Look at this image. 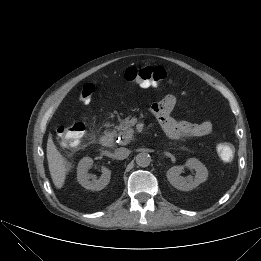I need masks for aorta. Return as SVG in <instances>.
<instances>
[{
    "mask_svg": "<svg viewBox=\"0 0 261 261\" xmlns=\"http://www.w3.org/2000/svg\"><path fill=\"white\" fill-rule=\"evenodd\" d=\"M136 163L140 167H147L150 165L151 156L147 152H141L135 157Z\"/></svg>",
    "mask_w": 261,
    "mask_h": 261,
    "instance_id": "1",
    "label": "aorta"
}]
</instances>
